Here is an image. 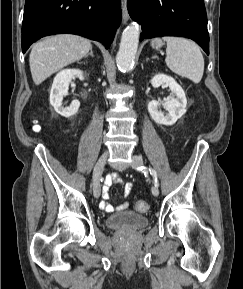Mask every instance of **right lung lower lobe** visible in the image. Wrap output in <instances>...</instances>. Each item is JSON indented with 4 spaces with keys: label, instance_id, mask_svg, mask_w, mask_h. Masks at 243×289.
<instances>
[{
    "label": "right lung lower lobe",
    "instance_id": "obj_1",
    "mask_svg": "<svg viewBox=\"0 0 243 289\" xmlns=\"http://www.w3.org/2000/svg\"><path fill=\"white\" fill-rule=\"evenodd\" d=\"M121 21V0H26L22 51L41 37L70 33L102 42L108 49Z\"/></svg>",
    "mask_w": 243,
    "mask_h": 289
}]
</instances>
